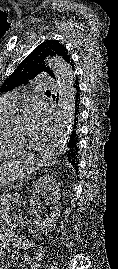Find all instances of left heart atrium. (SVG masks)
<instances>
[{
    "label": "left heart atrium",
    "instance_id": "obj_1",
    "mask_svg": "<svg viewBox=\"0 0 118 269\" xmlns=\"http://www.w3.org/2000/svg\"><path fill=\"white\" fill-rule=\"evenodd\" d=\"M24 119L28 133L32 138H41L50 129V114L40 102L32 101L28 103Z\"/></svg>",
    "mask_w": 118,
    "mask_h": 269
}]
</instances>
